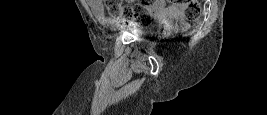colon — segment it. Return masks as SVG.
I'll return each instance as SVG.
<instances>
[{
  "instance_id": "colon-1",
  "label": "colon",
  "mask_w": 267,
  "mask_h": 115,
  "mask_svg": "<svg viewBox=\"0 0 267 115\" xmlns=\"http://www.w3.org/2000/svg\"><path fill=\"white\" fill-rule=\"evenodd\" d=\"M184 6L185 17L188 21H195L200 15V4L197 0H173ZM156 1H142L135 5H125L120 0H106L105 5L109 14L121 23L146 21L150 8Z\"/></svg>"
}]
</instances>
